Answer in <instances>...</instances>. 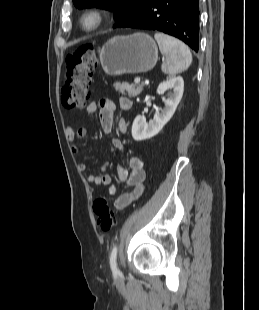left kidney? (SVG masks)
<instances>
[{
    "label": "left kidney",
    "instance_id": "1",
    "mask_svg": "<svg viewBox=\"0 0 259 310\" xmlns=\"http://www.w3.org/2000/svg\"><path fill=\"white\" fill-rule=\"evenodd\" d=\"M172 90L169 97L164 99V108L160 113H156L148 123L145 118L138 115L132 124V137L135 141H142L157 135L164 125L171 119L182 98L184 91V80L181 76L173 77L159 84L157 92L164 93Z\"/></svg>",
    "mask_w": 259,
    "mask_h": 310
}]
</instances>
